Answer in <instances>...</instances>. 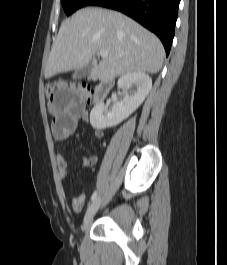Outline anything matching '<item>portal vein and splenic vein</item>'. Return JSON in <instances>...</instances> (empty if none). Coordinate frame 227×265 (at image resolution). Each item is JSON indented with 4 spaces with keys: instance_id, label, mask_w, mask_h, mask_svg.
<instances>
[{
    "instance_id": "obj_1",
    "label": "portal vein and splenic vein",
    "mask_w": 227,
    "mask_h": 265,
    "mask_svg": "<svg viewBox=\"0 0 227 265\" xmlns=\"http://www.w3.org/2000/svg\"><path fill=\"white\" fill-rule=\"evenodd\" d=\"M99 55H100L102 58H107L109 54H108V51L100 50V51H99Z\"/></svg>"
}]
</instances>
